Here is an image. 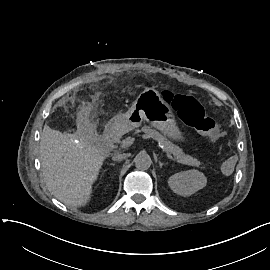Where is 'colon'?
<instances>
[{
    "mask_svg": "<svg viewBox=\"0 0 270 270\" xmlns=\"http://www.w3.org/2000/svg\"><path fill=\"white\" fill-rule=\"evenodd\" d=\"M163 101L170 106L185 124L210 138L214 143L221 140V133L216 127L215 121L206 116L201 109V104L189 94L176 91L164 90L161 93ZM235 169V163L226 159L221 163L224 175H231Z\"/></svg>",
    "mask_w": 270,
    "mask_h": 270,
    "instance_id": "colon-1",
    "label": "colon"
}]
</instances>
